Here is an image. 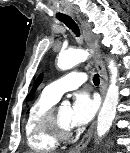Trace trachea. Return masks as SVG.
I'll return each instance as SVG.
<instances>
[{"label": "trachea", "instance_id": "3493384b", "mask_svg": "<svg viewBox=\"0 0 130 153\" xmlns=\"http://www.w3.org/2000/svg\"><path fill=\"white\" fill-rule=\"evenodd\" d=\"M60 21L63 22L68 28H70L76 34V36L78 37L80 36L79 27L71 17L67 16V17L60 18ZM93 83L95 85H99L100 79L98 74L94 75Z\"/></svg>", "mask_w": 130, "mask_h": 153}]
</instances>
